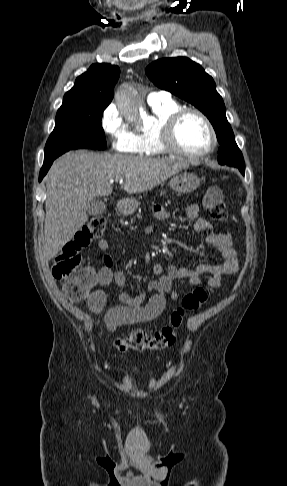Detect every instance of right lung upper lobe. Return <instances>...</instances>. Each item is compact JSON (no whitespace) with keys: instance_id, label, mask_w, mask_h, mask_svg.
I'll return each instance as SVG.
<instances>
[{"instance_id":"obj_1","label":"right lung upper lobe","mask_w":287,"mask_h":486,"mask_svg":"<svg viewBox=\"0 0 287 486\" xmlns=\"http://www.w3.org/2000/svg\"><path fill=\"white\" fill-rule=\"evenodd\" d=\"M118 66L97 63L80 75L74 87L63 98L61 107L89 103L109 104L113 99V89L119 78Z\"/></svg>"}]
</instances>
